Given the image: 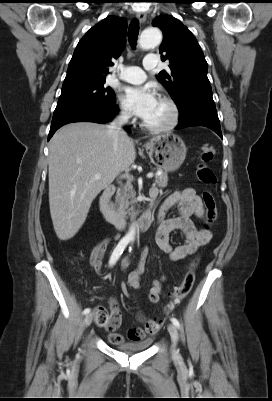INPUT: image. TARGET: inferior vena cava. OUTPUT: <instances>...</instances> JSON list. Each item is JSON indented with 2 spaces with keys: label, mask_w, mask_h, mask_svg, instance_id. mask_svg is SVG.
Segmentation results:
<instances>
[{
  "label": "inferior vena cava",
  "mask_w": 272,
  "mask_h": 401,
  "mask_svg": "<svg viewBox=\"0 0 272 401\" xmlns=\"http://www.w3.org/2000/svg\"><path fill=\"white\" fill-rule=\"evenodd\" d=\"M130 113L128 111H122L120 115L108 126V131L113 138V146L116 150L118 147V141L120 138H127V133L123 130V126L128 122Z\"/></svg>",
  "instance_id": "1"
}]
</instances>
